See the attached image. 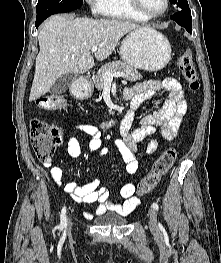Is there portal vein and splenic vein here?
<instances>
[{
  "label": "portal vein and splenic vein",
  "mask_w": 221,
  "mask_h": 263,
  "mask_svg": "<svg viewBox=\"0 0 221 263\" xmlns=\"http://www.w3.org/2000/svg\"><path fill=\"white\" fill-rule=\"evenodd\" d=\"M98 49V46H93L91 48V52H96ZM104 80L105 82H112L113 78H118V77H123L125 78V74L124 73H121V72H115V73H111L109 71L105 72L104 73Z\"/></svg>",
  "instance_id": "1"
}]
</instances>
